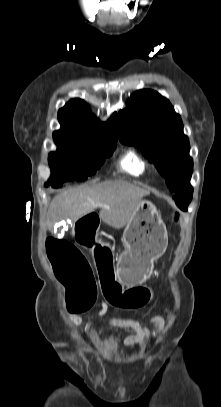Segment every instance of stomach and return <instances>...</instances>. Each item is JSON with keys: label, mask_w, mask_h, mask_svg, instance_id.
I'll list each match as a JSON object with an SVG mask.
<instances>
[{"label": "stomach", "mask_w": 221, "mask_h": 407, "mask_svg": "<svg viewBox=\"0 0 221 407\" xmlns=\"http://www.w3.org/2000/svg\"><path fill=\"white\" fill-rule=\"evenodd\" d=\"M122 241L125 250L116 263L119 280L127 286L145 282L152 273L154 261L164 254L168 245L166 226L152 202L139 203L125 227Z\"/></svg>", "instance_id": "stomach-1"}]
</instances>
